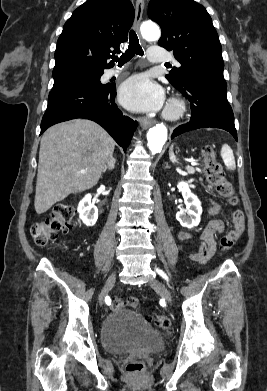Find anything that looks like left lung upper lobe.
<instances>
[{"mask_svg":"<svg viewBox=\"0 0 267 391\" xmlns=\"http://www.w3.org/2000/svg\"><path fill=\"white\" fill-rule=\"evenodd\" d=\"M148 16L161 27L158 45L172 50L181 64L166 75L174 87L196 76L224 79L221 44L202 5L193 0H151Z\"/></svg>","mask_w":267,"mask_h":391,"instance_id":"1","label":"left lung upper lobe"}]
</instances>
